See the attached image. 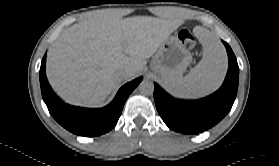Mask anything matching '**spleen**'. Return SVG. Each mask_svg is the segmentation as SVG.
Segmentation results:
<instances>
[{
  "mask_svg": "<svg viewBox=\"0 0 279 166\" xmlns=\"http://www.w3.org/2000/svg\"><path fill=\"white\" fill-rule=\"evenodd\" d=\"M196 36L203 46L202 59L186 76L164 82L180 98H199L215 91L226 74L227 57L220 41L206 29H199Z\"/></svg>",
  "mask_w": 279,
  "mask_h": 166,
  "instance_id": "3e777b00",
  "label": "spleen"
}]
</instances>
